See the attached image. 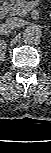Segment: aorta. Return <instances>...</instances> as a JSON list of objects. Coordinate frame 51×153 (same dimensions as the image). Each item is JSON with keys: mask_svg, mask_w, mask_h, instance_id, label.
<instances>
[{"mask_svg": "<svg viewBox=\"0 0 51 153\" xmlns=\"http://www.w3.org/2000/svg\"><path fill=\"white\" fill-rule=\"evenodd\" d=\"M42 31L37 25H30L26 27L23 32V40L28 44H36L40 41Z\"/></svg>", "mask_w": 51, "mask_h": 153, "instance_id": "762f6f07", "label": "aorta"}]
</instances>
